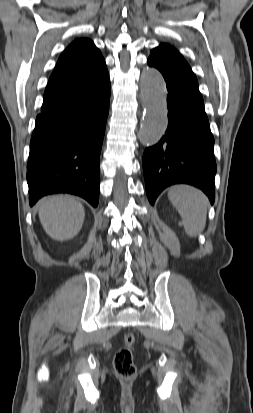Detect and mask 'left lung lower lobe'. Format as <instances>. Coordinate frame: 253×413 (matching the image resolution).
I'll return each mask as SVG.
<instances>
[{"mask_svg":"<svg viewBox=\"0 0 253 413\" xmlns=\"http://www.w3.org/2000/svg\"><path fill=\"white\" fill-rule=\"evenodd\" d=\"M149 66L157 68L168 90V127L154 146L145 149L143 171L146 192L153 205L163 189L178 183L200 188L213 203L216 162L214 138L191 70L173 67L148 58Z\"/></svg>","mask_w":253,"mask_h":413,"instance_id":"left-lung-lower-lobe-1","label":"left lung lower lobe"}]
</instances>
